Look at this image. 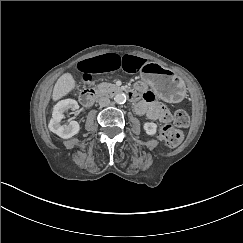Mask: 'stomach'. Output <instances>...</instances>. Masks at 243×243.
Segmentation results:
<instances>
[{
	"label": "stomach",
	"mask_w": 243,
	"mask_h": 243,
	"mask_svg": "<svg viewBox=\"0 0 243 243\" xmlns=\"http://www.w3.org/2000/svg\"><path fill=\"white\" fill-rule=\"evenodd\" d=\"M140 75L158 95L168 102H179L185 94L183 80L169 69L163 68L154 62L144 63L140 68Z\"/></svg>",
	"instance_id": "obj_1"
}]
</instances>
